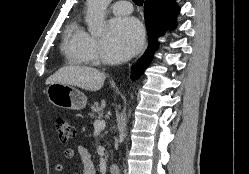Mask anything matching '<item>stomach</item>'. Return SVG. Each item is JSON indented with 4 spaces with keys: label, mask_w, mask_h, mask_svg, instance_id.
Wrapping results in <instances>:
<instances>
[{
    "label": "stomach",
    "mask_w": 249,
    "mask_h": 174,
    "mask_svg": "<svg viewBox=\"0 0 249 174\" xmlns=\"http://www.w3.org/2000/svg\"><path fill=\"white\" fill-rule=\"evenodd\" d=\"M49 101L61 108L81 110L87 103L86 96L78 89L61 83H52L47 87Z\"/></svg>",
    "instance_id": "0dacf381"
}]
</instances>
